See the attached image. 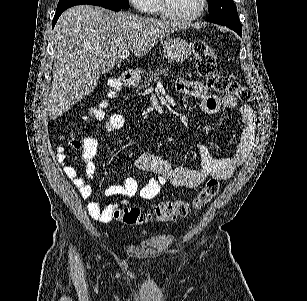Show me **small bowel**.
Masks as SVG:
<instances>
[{
	"instance_id": "obj_1",
	"label": "small bowel",
	"mask_w": 307,
	"mask_h": 301,
	"mask_svg": "<svg viewBox=\"0 0 307 301\" xmlns=\"http://www.w3.org/2000/svg\"><path fill=\"white\" fill-rule=\"evenodd\" d=\"M176 89L187 96L201 100V109L208 115H215L221 109L232 110L238 106V101L233 95L218 97L210 94L207 87L199 81L180 79L176 83ZM240 114L243 129L235 152L230 157H215L200 143H192V147L198 152L201 168L190 169L184 166L173 167L168 161L152 152H142L135 160V165L144 171L154 173L146 184L139 188L138 182L133 177H127L121 184H114L106 189L107 196H120L122 203L127 204L135 195L151 200L155 198L166 184L181 188H196L209 178L224 180L233 175L236 168L248 158L253 147L257 118L255 111L248 104L240 106ZM124 125V117L120 113L112 114L105 126L107 131H115ZM83 159L86 175L92 179L95 173L94 158L98 151V141L94 137H87L82 142ZM56 158L62 165L64 173L77 188L84 200H89L92 189L85 180L78 175L66 157L64 146L56 149ZM88 214L95 220L107 223L112 219L113 212L117 208L115 204L102 207L95 201L87 203Z\"/></svg>"
}]
</instances>
